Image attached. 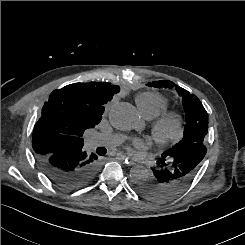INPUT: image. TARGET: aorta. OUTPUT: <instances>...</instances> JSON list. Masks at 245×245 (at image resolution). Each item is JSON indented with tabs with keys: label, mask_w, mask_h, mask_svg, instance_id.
I'll return each mask as SVG.
<instances>
[{
	"label": "aorta",
	"mask_w": 245,
	"mask_h": 245,
	"mask_svg": "<svg viewBox=\"0 0 245 245\" xmlns=\"http://www.w3.org/2000/svg\"><path fill=\"white\" fill-rule=\"evenodd\" d=\"M109 120L113 127L127 131L138 128L142 121L136 108L127 102H120L114 105L109 112ZM149 169L137 166L130 172V177L135 183H141L151 178Z\"/></svg>",
	"instance_id": "obj_1"
}]
</instances>
